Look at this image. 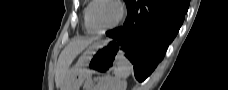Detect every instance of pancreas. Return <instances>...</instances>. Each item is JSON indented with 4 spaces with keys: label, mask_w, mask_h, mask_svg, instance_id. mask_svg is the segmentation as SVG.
Wrapping results in <instances>:
<instances>
[{
    "label": "pancreas",
    "mask_w": 228,
    "mask_h": 90,
    "mask_svg": "<svg viewBox=\"0 0 228 90\" xmlns=\"http://www.w3.org/2000/svg\"><path fill=\"white\" fill-rule=\"evenodd\" d=\"M95 80L96 79L95 78L93 79L91 76L88 77L84 83V90H92L94 87Z\"/></svg>",
    "instance_id": "obj_1"
}]
</instances>
